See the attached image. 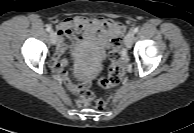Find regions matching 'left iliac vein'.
Here are the masks:
<instances>
[{
    "label": "left iliac vein",
    "instance_id": "left-iliac-vein-1",
    "mask_svg": "<svg viewBox=\"0 0 194 133\" xmlns=\"http://www.w3.org/2000/svg\"><path fill=\"white\" fill-rule=\"evenodd\" d=\"M133 40H134V33L133 32H129L126 35L125 40H124L125 46L127 48H131Z\"/></svg>",
    "mask_w": 194,
    "mask_h": 133
}]
</instances>
